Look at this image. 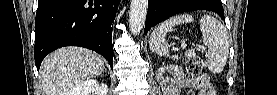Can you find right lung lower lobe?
Masks as SVG:
<instances>
[{
	"label": "right lung lower lobe",
	"mask_w": 277,
	"mask_h": 95,
	"mask_svg": "<svg viewBox=\"0 0 277 95\" xmlns=\"http://www.w3.org/2000/svg\"><path fill=\"white\" fill-rule=\"evenodd\" d=\"M118 0H39L35 19V65L62 46L102 54L113 68L112 23Z\"/></svg>",
	"instance_id": "1"
}]
</instances>
